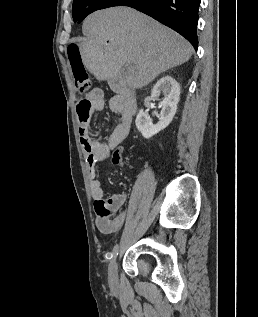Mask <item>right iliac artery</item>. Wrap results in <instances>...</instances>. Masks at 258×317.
<instances>
[{
    "instance_id": "1",
    "label": "right iliac artery",
    "mask_w": 258,
    "mask_h": 317,
    "mask_svg": "<svg viewBox=\"0 0 258 317\" xmlns=\"http://www.w3.org/2000/svg\"><path fill=\"white\" fill-rule=\"evenodd\" d=\"M118 248H119V245L117 244V245H115L114 246V248H113V255H114V257H116L117 256V254H118Z\"/></svg>"
}]
</instances>
